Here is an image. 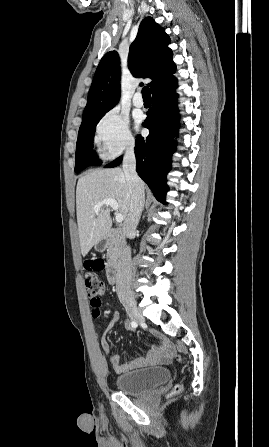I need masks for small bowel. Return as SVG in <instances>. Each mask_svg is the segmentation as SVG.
<instances>
[{
  "label": "small bowel",
  "instance_id": "obj_1",
  "mask_svg": "<svg viewBox=\"0 0 269 447\" xmlns=\"http://www.w3.org/2000/svg\"><path fill=\"white\" fill-rule=\"evenodd\" d=\"M119 318V313L113 311L111 314V326ZM156 337L160 339V344L154 346L146 356L137 357L132 360H124L119 354H109V361L116 372L122 373L132 369L161 364L169 363L174 356V349L170 344L162 338V336L155 332ZM102 347L105 352L109 353V346L107 342H102Z\"/></svg>",
  "mask_w": 269,
  "mask_h": 447
}]
</instances>
